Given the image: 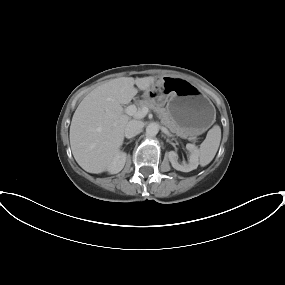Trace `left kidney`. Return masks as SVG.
<instances>
[{
	"label": "left kidney",
	"mask_w": 285,
	"mask_h": 285,
	"mask_svg": "<svg viewBox=\"0 0 285 285\" xmlns=\"http://www.w3.org/2000/svg\"><path fill=\"white\" fill-rule=\"evenodd\" d=\"M186 149L190 153V159L188 164H179L178 155L175 151H170L168 153L169 160L173 166L178 171L190 172L196 169L199 165V150L194 144H187Z\"/></svg>",
	"instance_id": "obj_1"
}]
</instances>
